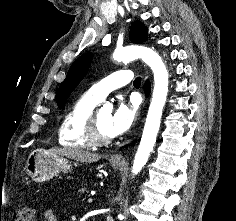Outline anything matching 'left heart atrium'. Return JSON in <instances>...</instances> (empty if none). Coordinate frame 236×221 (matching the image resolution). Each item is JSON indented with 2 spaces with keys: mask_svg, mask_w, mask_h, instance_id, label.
Returning a JSON list of instances; mask_svg holds the SVG:
<instances>
[{
  "mask_svg": "<svg viewBox=\"0 0 236 221\" xmlns=\"http://www.w3.org/2000/svg\"><path fill=\"white\" fill-rule=\"evenodd\" d=\"M136 112L137 106L134 103L119 102L109 120L108 128L111 136H118L126 132L132 126Z\"/></svg>",
  "mask_w": 236,
  "mask_h": 221,
  "instance_id": "1",
  "label": "left heart atrium"
}]
</instances>
